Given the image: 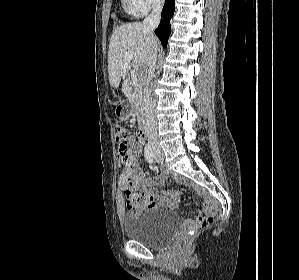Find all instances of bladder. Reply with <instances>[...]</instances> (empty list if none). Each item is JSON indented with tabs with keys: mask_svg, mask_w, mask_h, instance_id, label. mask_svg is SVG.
<instances>
[{
	"mask_svg": "<svg viewBox=\"0 0 299 280\" xmlns=\"http://www.w3.org/2000/svg\"><path fill=\"white\" fill-rule=\"evenodd\" d=\"M177 224V217L172 212L149 208L138 215L125 217L123 229L127 238L151 248H160L170 241Z\"/></svg>",
	"mask_w": 299,
	"mask_h": 280,
	"instance_id": "bladder-1",
	"label": "bladder"
}]
</instances>
